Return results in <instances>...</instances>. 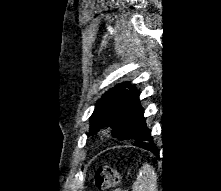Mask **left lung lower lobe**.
I'll list each match as a JSON object with an SVG mask.
<instances>
[{
	"mask_svg": "<svg viewBox=\"0 0 221 191\" xmlns=\"http://www.w3.org/2000/svg\"><path fill=\"white\" fill-rule=\"evenodd\" d=\"M131 112H132V117L134 118V122L137 125V130L139 129L143 135V137H151V132L146 126V119L143 116V109L139 103V92L135 89L133 86V94L131 97ZM144 149L151 150L155 152V145L154 142L152 145H147L144 147Z\"/></svg>",
	"mask_w": 221,
	"mask_h": 191,
	"instance_id": "1",
	"label": "left lung lower lobe"
}]
</instances>
